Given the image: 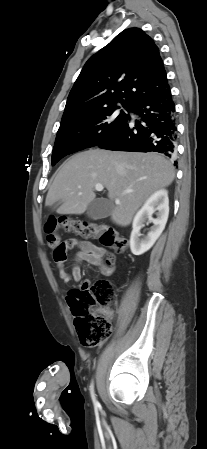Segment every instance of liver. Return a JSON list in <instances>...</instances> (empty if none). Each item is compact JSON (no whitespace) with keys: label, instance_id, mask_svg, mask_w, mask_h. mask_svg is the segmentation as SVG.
<instances>
[{"label":"liver","instance_id":"1","mask_svg":"<svg viewBox=\"0 0 207 449\" xmlns=\"http://www.w3.org/2000/svg\"><path fill=\"white\" fill-rule=\"evenodd\" d=\"M172 164L157 153H133L90 149L71 156L58 171L46 196V206L62 202L58 214L84 213L95 199L97 183L115 201L111 220L128 226L147 198L169 186ZM132 190L131 193L124 192Z\"/></svg>","mask_w":207,"mask_h":449}]
</instances>
